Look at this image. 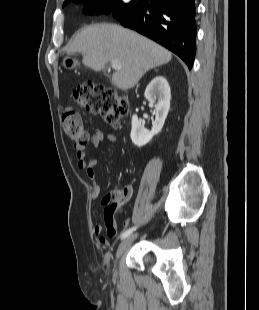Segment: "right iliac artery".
Masks as SVG:
<instances>
[{
    "label": "right iliac artery",
    "mask_w": 259,
    "mask_h": 310,
    "mask_svg": "<svg viewBox=\"0 0 259 310\" xmlns=\"http://www.w3.org/2000/svg\"><path fill=\"white\" fill-rule=\"evenodd\" d=\"M135 229H136V227H133V228H130V229L126 230V231L121 235V239L127 238Z\"/></svg>",
    "instance_id": "1"
}]
</instances>
